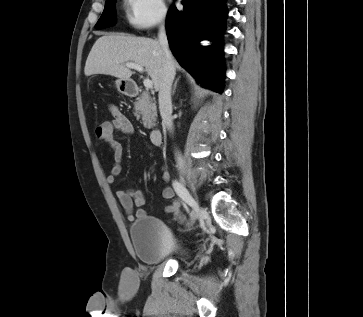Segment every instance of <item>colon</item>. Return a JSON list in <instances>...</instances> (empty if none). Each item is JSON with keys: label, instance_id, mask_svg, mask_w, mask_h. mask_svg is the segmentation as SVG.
I'll return each instance as SVG.
<instances>
[{"label": "colon", "instance_id": "1", "mask_svg": "<svg viewBox=\"0 0 363 317\" xmlns=\"http://www.w3.org/2000/svg\"><path fill=\"white\" fill-rule=\"evenodd\" d=\"M103 126H105V123H98V124L95 126V132H96V131H100V130H101V128H102Z\"/></svg>", "mask_w": 363, "mask_h": 317}]
</instances>
